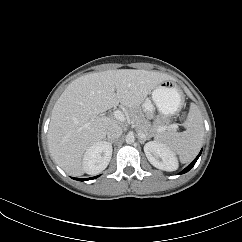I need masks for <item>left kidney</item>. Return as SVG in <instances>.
Listing matches in <instances>:
<instances>
[{
	"label": "left kidney",
	"instance_id": "obj_1",
	"mask_svg": "<svg viewBox=\"0 0 242 242\" xmlns=\"http://www.w3.org/2000/svg\"><path fill=\"white\" fill-rule=\"evenodd\" d=\"M144 152L148 161L156 168L163 171H175L178 160L170 149L162 143L150 141L145 144Z\"/></svg>",
	"mask_w": 242,
	"mask_h": 242
}]
</instances>
